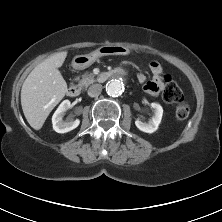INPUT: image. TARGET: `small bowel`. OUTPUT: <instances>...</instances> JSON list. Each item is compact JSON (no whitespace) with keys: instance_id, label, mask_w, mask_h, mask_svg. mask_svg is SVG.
<instances>
[{"instance_id":"1","label":"small bowel","mask_w":222,"mask_h":222,"mask_svg":"<svg viewBox=\"0 0 222 222\" xmlns=\"http://www.w3.org/2000/svg\"><path fill=\"white\" fill-rule=\"evenodd\" d=\"M150 70L153 74V78L146 81V76L144 74L138 75V80L140 83L144 84V89L148 94L157 95L161 92L164 87L162 78V66L158 62L150 63Z\"/></svg>"}]
</instances>
